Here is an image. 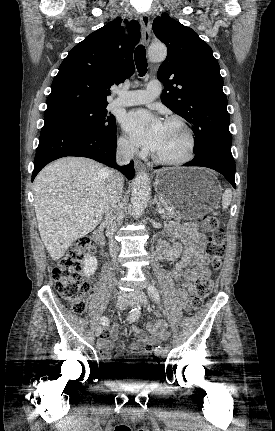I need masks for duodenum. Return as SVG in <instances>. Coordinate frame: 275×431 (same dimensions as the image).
<instances>
[{
    "mask_svg": "<svg viewBox=\"0 0 275 431\" xmlns=\"http://www.w3.org/2000/svg\"><path fill=\"white\" fill-rule=\"evenodd\" d=\"M94 240H95V242L99 246L103 247V245H104V236H103V233H102L101 230L95 231V233H94Z\"/></svg>",
    "mask_w": 275,
    "mask_h": 431,
    "instance_id": "obj_1",
    "label": "duodenum"
}]
</instances>
